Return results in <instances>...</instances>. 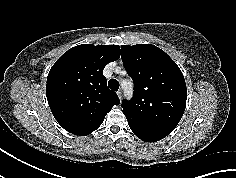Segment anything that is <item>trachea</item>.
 Returning a JSON list of instances; mask_svg holds the SVG:
<instances>
[{
    "instance_id": "3493384b",
    "label": "trachea",
    "mask_w": 236,
    "mask_h": 178,
    "mask_svg": "<svg viewBox=\"0 0 236 178\" xmlns=\"http://www.w3.org/2000/svg\"><path fill=\"white\" fill-rule=\"evenodd\" d=\"M108 86L113 91H118V89H119V82L116 79H111L108 82Z\"/></svg>"
}]
</instances>
